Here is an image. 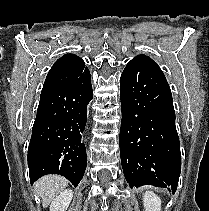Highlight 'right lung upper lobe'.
<instances>
[{
	"instance_id": "cb5924a9",
	"label": "right lung upper lobe",
	"mask_w": 209,
	"mask_h": 211,
	"mask_svg": "<svg viewBox=\"0 0 209 211\" xmlns=\"http://www.w3.org/2000/svg\"><path fill=\"white\" fill-rule=\"evenodd\" d=\"M86 70L84 61L75 54L59 58L47 74L41 97L72 82ZM40 97V98H41Z\"/></svg>"
}]
</instances>
